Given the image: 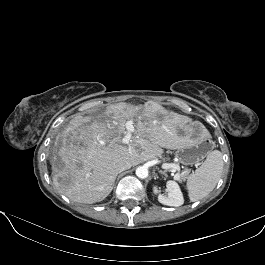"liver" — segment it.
Wrapping results in <instances>:
<instances>
[{
	"instance_id": "liver-1",
	"label": "liver",
	"mask_w": 265,
	"mask_h": 265,
	"mask_svg": "<svg viewBox=\"0 0 265 265\" xmlns=\"http://www.w3.org/2000/svg\"><path fill=\"white\" fill-rule=\"evenodd\" d=\"M135 123L129 144L122 139L126 123ZM191 122L187 116L167 112L158 104L142 109L141 114L126 103L112 104L96 117L77 115L55 140L56 154L63 166L52 160L53 183L69 199L92 204L104 200L112 191L117 165L129 160L138 165L160 157L162 148L180 149L189 142V134L179 129Z\"/></svg>"
}]
</instances>
